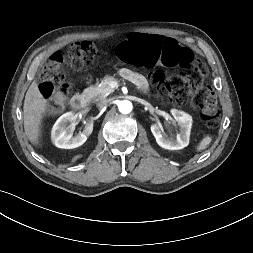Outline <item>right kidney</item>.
Returning a JSON list of instances; mask_svg holds the SVG:
<instances>
[{
    "label": "right kidney",
    "mask_w": 253,
    "mask_h": 253,
    "mask_svg": "<svg viewBox=\"0 0 253 253\" xmlns=\"http://www.w3.org/2000/svg\"><path fill=\"white\" fill-rule=\"evenodd\" d=\"M76 119L77 115L74 112H67L55 122L51 131V139L56 147L73 149L86 142L87 137L93 131V122H87L83 132L73 137Z\"/></svg>",
    "instance_id": "ca27d5eb"
}]
</instances>
